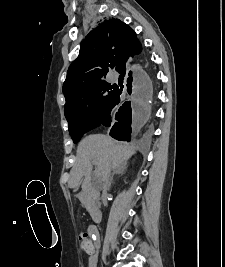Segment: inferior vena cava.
Wrapping results in <instances>:
<instances>
[{
	"mask_svg": "<svg viewBox=\"0 0 225 267\" xmlns=\"http://www.w3.org/2000/svg\"><path fill=\"white\" fill-rule=\"evenodd\" d=\"M109 180H110V172H108V174L105 176L104 178V186H103V198L104 196L106 195V192H107V189H108V183H109Z\"/></svg>",
	"mask_w": 225,
	"mask_h": 267,
	"instance_id": "inferior-vena-cava-1",
	"label": "inferior vena cava"
}]
</instances>
